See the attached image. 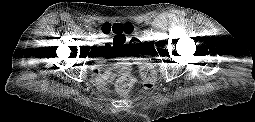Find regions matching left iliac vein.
Listing matches in <instances>:
<instances>
[{
	"mask_svg": "<svg viewBox=\"0 0 255 122\" xmlns=\"http://www.w3.org/2000/svg\"><path fill=\"white\" fill-rule=\"evenodd\" d=\"M144 39H146V40H149L150 39V35H148V34H144Z\"/></svg>",
	"mask_w": 255,
	"mask_h": 122,
	"instance_id": "1",
	"label": "left iliac vein"
}]
</instances>
